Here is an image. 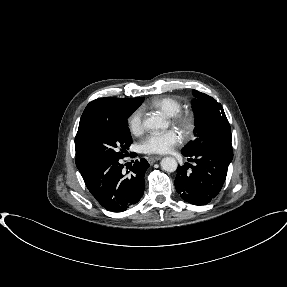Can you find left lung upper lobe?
<instances>
[{"instance_id": "1", "label": "left lung upper lobe", "mask_w": 287, "mask_h": 287, "mask_svg": "<svg viewBox=\"0 0 287 287\" xmlns=\"http://www.w3.org/2000/svg\"><path fill=\"white\" fill-rule=\"evenodd\" d=\"M193 96L195 139L182 150V154L192 155L207 147L231 142V128L222 105L197 90H193Z\"/></svg>"}]
</instances>
